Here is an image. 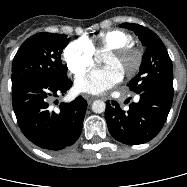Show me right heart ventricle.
I'll return each mask as SVG.
<instances>
[{"label":"right heart ventricle","instance_id":"right-heart-ventricle-1","mask_svg":"<svg viewBox=\"0 0 187 187\" xmlns=\"http://www.w3.org/2000/svg\"><path fill=\"white\" fill-rule=\"evenodd\" d=\"M87 41L96 53H105L123 45H134V39L130 34L117 29L101 32Z\"/></svg>","mask_w":187,"mask_h":187}]
</instances>
